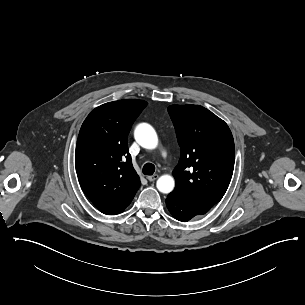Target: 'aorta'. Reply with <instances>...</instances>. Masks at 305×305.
<instances>
[{"label": "aorta", "instance_id": "aorta-1", "mask_svg": "<svg viewBox=\"0 0 305 305\" xmlns=\"http://www.w3.org/2000/svg\"><path fill=\"white\" fill-rule=\"evenodd\" d=\"M134 136L137 143L143 148L154 149L157 147V134L149 124H139L135 129ZM156 186L160 192L168 194L174 189V178L170 175H162L158 178Z\"/></svg>", "mask_w": 305, "mask_h": 305}]
</instances>
